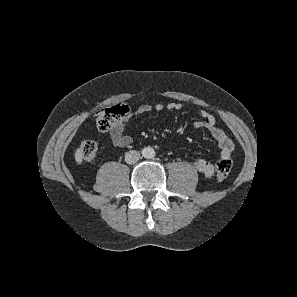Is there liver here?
I'll return each instance as SVG.
<instances>
[{
  "mask_svg": "<svg viewBox=\"0 0 297 297\" xmlns=\"http://www.w3.org/2000/svg\"><path fill=\"white\" fill-rule=\"evenodd\" d=\"M75 161L77 162V164H81L82 160H83V154L80 148H77L76 152H75Z\"/></svg>",
  "mask_w": 297,
  "mask_h": 297,
  "instance_id": "liver-1",
  "label": "liver"
}]
</instances>
